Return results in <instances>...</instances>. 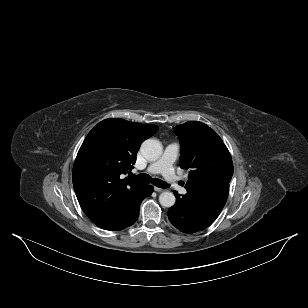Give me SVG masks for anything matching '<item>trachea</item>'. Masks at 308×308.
<instances>
[{
	"mask_svg": "<svg viewBox=\"0 0 308 308\" xmlns=\"http://www.w3.org/2000/svg\"><path fill=\"white\" fill-rule=\"evenodd\" d=\"M133 179L140 183H145V184L152 183L153 185L159 188L169 187V185L166 182L157 178L152 179L148 174H139L137 176H133Z\"/></svg>",
	"mask_w": 308,
	"mask_h": 308,
	"instance_id": "obj_1",
	"label": "trachea"
}]
</instances>
